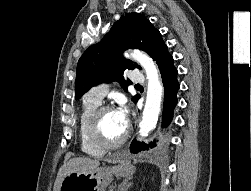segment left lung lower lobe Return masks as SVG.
<instances>
[{
  "label": "left lung lower lobe",
  "mask_w": 251,
  "mask_h": 191,
  "mask_svg": "<svg viewBox=\"0 0 251 191\" xmlns=\"http://www.w3.org/2000/svg\"><path fill=\"white\" fill-rule=\"evenodd\" d=\"M164 85V107L162 114L163 126L166 127L172 120L173 109L177 104V92L179 90V83L177 81V69L173 65V57L166 50L156 61ZM139 99V98H138ZM137 99V100H138ZM155 142L150 143V147L155 146ZM149 146L145 143L132 142L131 152L138 153L139 151L148 150Z\"/></svg>",
  "instance_id": "obj_1"
}]
</instances>
